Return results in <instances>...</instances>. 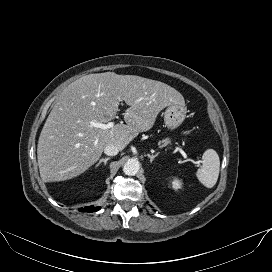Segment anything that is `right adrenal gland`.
<instances>
[{
	"mask_svg": "<svg viewBox=\"0 0 272 272\" xmlns=\"http://www.w3.org/2000/svg\"><path fill=\"white\" fill-rule=\"evenodd\" d=\"M108 160H110V157L100 159L99 162L96 164V167L100 166L101 163H104V165L106 166Z\"/></svg>",
	"mask_w": 272,
	"mask_h": 272,
	"instance_id": "1",
	"label": "right adrenal gland"
}]
</instances>
